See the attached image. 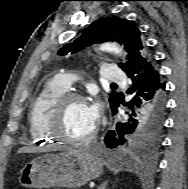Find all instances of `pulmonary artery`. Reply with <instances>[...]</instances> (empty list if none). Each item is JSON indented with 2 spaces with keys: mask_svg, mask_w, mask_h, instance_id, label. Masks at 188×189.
Wrapping results in <instances>:
<instances>
[{
  "mask_svg": "<svg viewBox=\"0 0 188 189\" xmlns=\"http://www.w3.org/2000/svg\"><path fill=\"white\" fill-rule=\"evenodd\" d=\"M101 76L105 81L109 82H123L125 80V74L118 69L115 65H105L101 71ZM57 80L65 87H70L74 81V76L68 73H62L57 76Z\"/></svg>",
  "mask_w": 188,
  "mask_h": 189,
  "instance_id": "e3ab8cb5",
  "label": "pulmonary artery"
}]
</instances>
